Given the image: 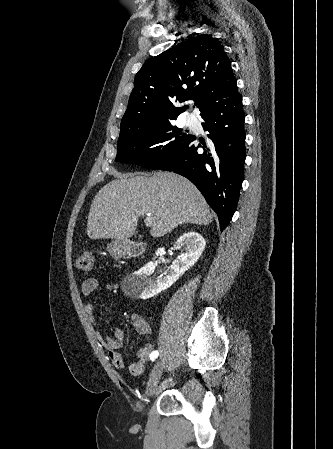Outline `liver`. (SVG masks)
<instances>
[{
  "instance_id": "1",
  "label": "liver",
  "mask_w": 333,
  "mask_h": 449,
  "mask_svg": "<svg viewBox=\"0 0 333 449\" xmlns=\"http://www.w3.org/2000/svg\"><path fill=\"white\" fill-rule=\"evenodd\" d=\"M151 214V235L161 237L183 223L209 225L213 221L200 191L186 178L169 172L120 175L99 190L88 215L91 239L130 238L138 218Z\"/></svg>"
}]
</instances>
